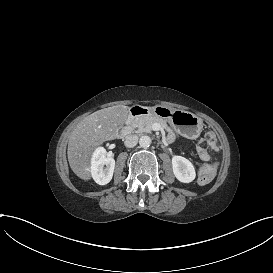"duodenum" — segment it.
Segmentation results:
<instances>
[{"instance_id":"obj_1","label":"duodenum","mask_w":273,"mask_h":273,"mask_svg":"<svg viewBox=\"0 0 273 273\" xmlns=\"http://www.w3.org/2000/svg\"><path fill=\"white\" fill-rule=\"evenodd\" d=\"M148 112L146 109L141 108V107H134L130 110L129 115H128V119H127V123L126 125L122 128L121 132H120V137H125L128 134H130L131 132V125L132 122L135 118L142 116V115H146Z\"/></svg>"}]
</instances>
